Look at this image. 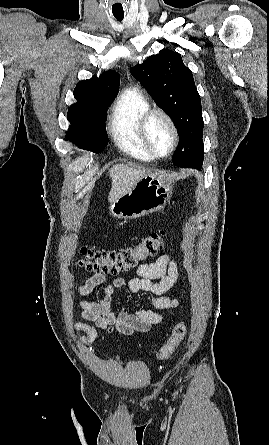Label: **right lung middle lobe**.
Wrapping results in <instances>:
<instances>
[{
  "label": "right lung middle lobe",
  "mask_w": 269,
  "mask_h": 445,
  "mask_svg": "<svg viewBox=\"0 0 269 445\" xmlns=\"http://www.w3.org/2000/svg\"><path fill=\"white\" fill-rule=\"evenodd\" d=\"M109 104L69 110L68 139L82 149L99 153L108 143L105 117Z\"/></svg>",
  "instance_id": "dd1d6c3e"
}]
</instances>
